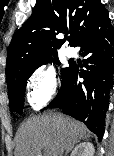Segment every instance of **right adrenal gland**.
I'll return each mask as SVG.
<instances>
[{
	"instance_id": "right-adrenal-gland-1",
	"label": "right adrenal gland",
	"mask_w": 114,
	"mask_h": 156,
	"mask_svg": "<svg viewBox=\"0 0 114 156\" xmlns=\"http://www.w3.org/2000/svg\"><path fill=\"white\" fill-rule=\"evenodd\" d=\"M71 151V149L70 150H68V151H66V154H65V156H67L68 155V153Z\"/></svg>"
}]
</instances>
